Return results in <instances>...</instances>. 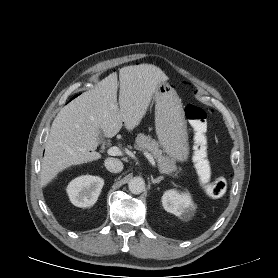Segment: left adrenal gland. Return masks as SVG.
<instances>
[{
    "instance_id": "a2214340",
    "label": "left adrenal gland",
    "mask_w": 278,
    "mask_h": 278,
    "mask_svg": "<svg viewBox=\"0 0 278 278\" xmlns=\"http://www.w3.org/2000/svg\"><path fill=\"white\" fill-rule=\"evenodd\" d=\"M162 180H164V177H163V176H159V177L156 178V179L151 178L152 184H159Z\"/></svg>"
}]
</instances>
